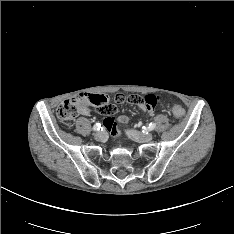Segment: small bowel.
<instances>
[{"instance_id":"1","label":"small bowel","mask_w":234,"mask_h":234,"mask_svg":"<svg viewBox=\"0 0 234 234\" xmlns=\"http://www.w3.org/2000/svg\"><path fill=\"white\" fill-rule=\"evenodd\" d=\"M113 100L117 104H132L134 107H140L144 112L152 113L156 107H161L164 104V97L161 94H133L123 95L117 93ZM111 102L109 96L105 93L90 94L87 97L89 111L92 114H99L103 117V124L111 132L112 135L117 134V128L129 121L126 115H121L116 120L119 110Z\"/></svg>"}]
</instances>
